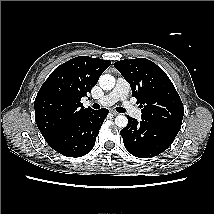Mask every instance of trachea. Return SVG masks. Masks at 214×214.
<instances>
[{
  "label": "trachea",
  "mask_w": 214,
  "mask_h": 214,
  "mask_svg": "<svg viewBox=\"0 0 214 214\" xmlns=\"http://www.w3.org/2000/svg\"><path fill=\"white\" fill-rule=\"evenodd\" d=\"M93 108H94V109H99V108H100V105L97 104V103H95V104L93 105ZM116 110H117L119 113H125V112H126V110H125L124 108H122V107H117Z\"/></svg>",
  "instance_id": "trachea-1"
}]
</instances>
